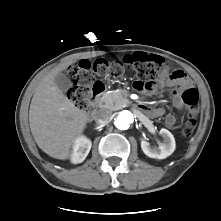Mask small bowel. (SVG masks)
I'll list each match as a JSON object with an SVG mask.
<instances>
[{"label":"small bowel","instance_id":"c3829d8e","mask_svg":"<svg viewBox=\"0 0 221 221\" xmlns=\"http://www.w3.org/2000/svg\"><path fill=\"white\" fill-rule=\"evenodd\" d=\"M136 53L132 55H128L125 57V61L131 60V58L135 55ZM191 82L187 78L186 74L184 71L180 69H176L173 71H169L167 67H165L162 71V78L160 82L158 83L157 86H155L153 89H151V92H156L159 89H161L164 86H169L173 90V104L175 108L179 111H184L185 110V103L181 99L180 96V88L183 86H190ZM145 107V112L151 116V117H160L163 115V109L162 108H150L147 106ZM165 123L168 127H174L177 123V119L174 115H168L165 118Z\"/></svg>","mask_w":221,"mask_h":221}]
</instances>
